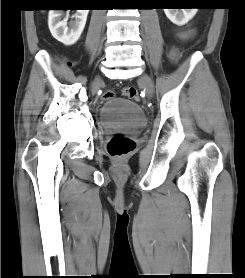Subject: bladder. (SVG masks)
<instances>
[{"mask_svg":"<svg viewBox=\"0 0 245 278\" xmlns=\"http://www.w3.org/2000/svg\"><path fill=\"white\" fill-rule=\"evenodd\" d=\"M99 123L103 128L112 126L121 131H136L146 126L142 109L128 99L117 97L103 103Z\"/></svg>","mask_w":245,"mask_h":278,"instance_id":"1","label":"bladder"}]
</instances>
